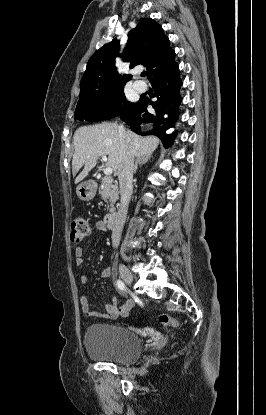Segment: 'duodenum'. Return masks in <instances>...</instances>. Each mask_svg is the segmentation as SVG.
Masks as SVG:
<instances>
[{
	"label": "duodenum",
	"instance_id": "410a0bca",
	"mask_svg": "<svg viewBox=\"0 0 266 415\" xmlns=\"http://www.w3.org/2000/svg\"><path fill=\"white\" fill-rule=\"evenodd\" d=\"M103 225L107 229H110V230L114 229L117 225V215L115 213L107 214L103 220Z\"/></svg>",
	"mask_w": 266,
	"mask_h": 415
}]
</instances>
